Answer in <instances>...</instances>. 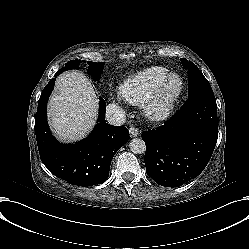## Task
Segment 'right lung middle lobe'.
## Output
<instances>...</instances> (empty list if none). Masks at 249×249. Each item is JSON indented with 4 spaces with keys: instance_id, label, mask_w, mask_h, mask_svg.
Masks as SVG:
<instances>
[{
    "instance_id": "right-lung-middle-lobe-1",
    "label": "right lung middle lobe",
    "mask_w": 249,
    "mask_h": 249,
    "mask_svg": "<svg viewBox=\"0 0 249 249\" xmlns=\"http://www.w3.org/2000/svg\"><path fill=\"white\" fill-rule=\"evenodd\" d=\"M81 60H71L69 61L65 67H63L60 72L70 70V69H78L79 68V63ZM87 64H89L88 71L94 77V79L99 80L100 76L103 72L104 68V63L103 62H91L88 61Z\"/></svg>"
}]
</instances>
